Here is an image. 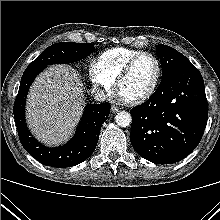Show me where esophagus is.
Listing matches in <instances>:
<instances>
[{"instance_id":"obj_1","label":"esophagus","mask_w":220,"mask_h":220,"mask_svg":"<svg viewBox=\"0 0 220 220\" xmlns=\"http://www.w3.org/2000/svg\"><path fill=\"white\" fill-rule=\"evenodd\" d=\"M119 111V107L115 106V105H112L111 106V112L112 113H117Z\"/></svg>"}]
</instances>
